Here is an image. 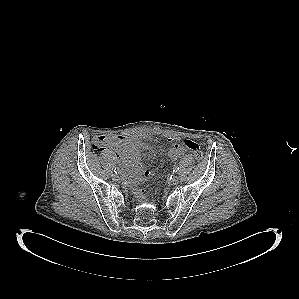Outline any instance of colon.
Segmentation results:
<instances>
[{
	"instance_id": "colon-1",
	"label": "colon",
	"mask_w": 299,
	"mask_h": 299,
	"mask_svg": "<svg viewBox=\"0 0 299 299\" xmlns=\"http://www.w3.org/2000/svg\"><path fill=\"white\" fill-rule=\"evenodd\" d=\"M108 138L109 136H99L97 137L95 140H94V143H93V149L95 151H102L105 149L106 147V143L108 141ZM182 144L190 150V152L192 153V155L194 156V158L198 161H201L203 159V151L202 149L200 148V146L192 141V140H189V139H185L183 140Z\"/></svg>"
}]
</instances>
